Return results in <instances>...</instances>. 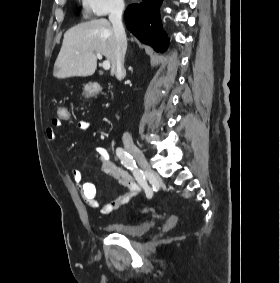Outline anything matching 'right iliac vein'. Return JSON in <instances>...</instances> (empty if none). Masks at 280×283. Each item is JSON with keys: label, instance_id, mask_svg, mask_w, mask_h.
Returning a JSON list of instances; mask_svg holds the SVG:
<instances>
[{"label": "right iliac vein", "instance_id": "obj_1", "mask_svg": "<svg viewBox=\"0 0 280 283\" xmlns=\"http://www.w3.org/2000/svg\"><path fill=\"white\" fill-rule=\"evenodd\" d=\"M127 150L133 155L140 167L148 174L152 173L149 163L143 152L135 145H128Z\"/></svg>", "mask_w": 280, "mask_h": 283}]
</instances>
